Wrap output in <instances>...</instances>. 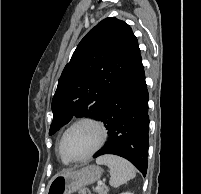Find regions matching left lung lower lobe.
<instances>
[{
	"label": "left lung lower lobe",
	"instance_id": "0a47b994",
	"mask_svg": "<svg viewBox=\"0 0 201 194\" xmlns=\"http://www.w3.org/2000/svg\"><path fill=\"white\" fill-rule=\"evenodd\" d=\"M148 98L141 55L104 105L99 119L104 121L109 139L94 157L114 154L129 160L144 176L148 156Z\"/></svg>",
	"mask_w": 201,
	"mask_h": 194
}]
</instances>
